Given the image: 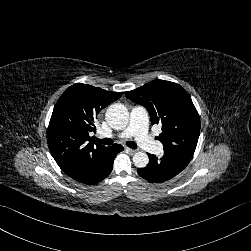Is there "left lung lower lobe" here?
Instances as JSON below:
<instances>
[{
    "label": "left lung lower lobe",
    "mask_w": 251,
    "mask_h": 251,
    "mask_svg": "<svg viewBox=\"0 0 251 251\" xmlns=\"http://www.w3.org/2000/svg\"><path fill=\"white\" fill-rule=\"evenodd\" d=\"M148 156V165L144 168L137 169V173L142 178L153 183H162L175 177L191 160V158L182 154L165 151L160 158L152 154H148Z\"/></svg>",
    "instance_id": "0a47b994"
}]
</instances>
